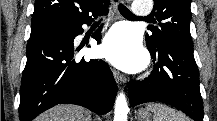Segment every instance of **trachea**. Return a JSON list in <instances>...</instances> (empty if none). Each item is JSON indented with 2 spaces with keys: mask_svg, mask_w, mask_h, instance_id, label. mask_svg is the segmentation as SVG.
<instances>
[{
  "mask_svg": "<svg viewBox=\"0 0 217 121\" xmlns=\"http://www.w3.org/2000/svg\"><path fill=\"white\" fill-rule=\"evenodd\" d=\"M118 9L123 16L136 17L126 6L123 4L118 5Z\"/></svg>",
  "mask_w": 217,
  "mask_h": 121,
  "instance_id": "obj_1",
  "label": "trachea"
}]
</instances>
